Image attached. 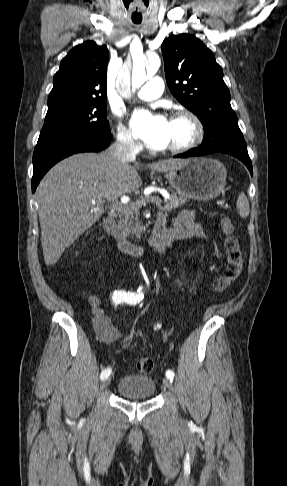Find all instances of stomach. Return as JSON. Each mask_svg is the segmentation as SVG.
I'll list each match as a JSON object with an SVG mask.
<instances>
[{
    "mask_svg": "<svg viewBox=\"0 0 287 486\" xmlns=\"http://www.w3.org/2000/svg\"><path fill=\"white\" fill-rule=\"evenodd\" d=\"M165 177L182 197L206 201L221 194L226 186L227 171L218 160L195 157L184 160Z\"/></svg>",
    "mask_w": 287,
    "mask_h": 486,
    "instance_id": "1",
    "label": "stomach"
}]
</instances>
